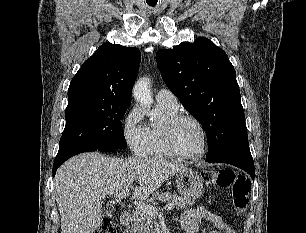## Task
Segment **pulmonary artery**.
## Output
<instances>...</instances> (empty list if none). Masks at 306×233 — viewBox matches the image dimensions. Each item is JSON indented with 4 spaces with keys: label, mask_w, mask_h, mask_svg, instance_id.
Instances as JSON below:
<instances>
[{
    "label": "pulmonary artery",
    "mask_w": 306,
    "mask_h": 233,
    "mask_svg": "<svg viewBox=\"0 0 306 233\" xmlns=\"http://www.w3.org/2000/svg\"><path fill=\"white\" fill-rule=\"evenodd\" d=\"M156 101L159 105L171 108V109H177L178 108V101L176 96L168 89H160L156 93Z\"/></svg>",
    "instance_id": "1"
}]
</instances>
